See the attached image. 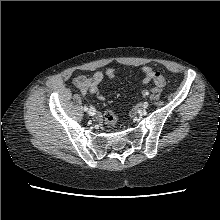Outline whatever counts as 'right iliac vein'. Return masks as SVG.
<instances>
[{"label":"right iliac vein","mask_w":220,"mask_h":220,"mask_svg":"<svg viewBox=\"0 0 220 220\" xmlns=\"http://www.w3.org/2000/svg\"><path fill=\"white\" fill-rule=\"evenodd\" d=\"M88 113H89V115L94 116V115H95V110H94V108L91 107V108L88 110Z\"/></svg>","instance_id":"obj_1"}]
</instances>
